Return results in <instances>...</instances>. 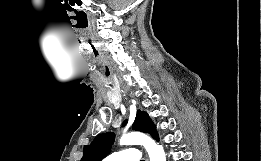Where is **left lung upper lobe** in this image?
<instances>
[{
    "label": "left lung upper lobe",
    "mask_w": 261,
    "mask_h": 161,
    "mask_svg": "<svg viewBox=\"0 0 261 161\" xmlns=\"http://www.w3.org/2000/svg\"><path fill=\"white\" fill-rule=\"evenodd\" d=\"M127 121L124 122L126 124ZM132 128L137 131L149 133L158 141L155 125L144 111H137ZM115 140V134L107 132L97 136L90 145L84 146V155L81 161H101L109 152Z\"/></svg>",
    "instance_id": "left-lung-upper-lobe-1"
}]
</instances>
